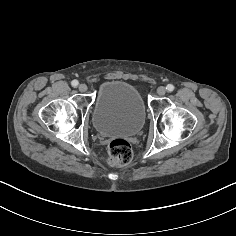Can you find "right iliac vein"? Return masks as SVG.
Listing matches in <instances>:
<instances>
[{
  "label": "right iliac vein",
  "mask_w": 236,
  "mask_h": 236,
  "mask_svg": "<svg viewBox=\"0 0 236 236\" xmlns=\"http://www.w3.org/2000/svg\"><path fill=\"white\" fill-rule=\"evenodd\" d=\"M78 89H79L80 92H86L87 89H88V87H87L86 84H80V85L78 86Z\"/></svg>",
  "instance_id": "right-iliac-vein-1"
}]
</instances>
